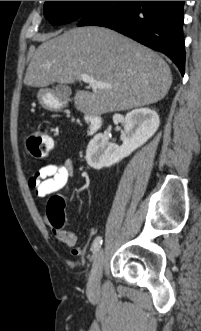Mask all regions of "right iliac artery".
<instances>
[{
    "label": "right iliac artery",
    "instance_id": "right-iliac-artery-1",
    "mask_svg": "<svg viewBox=\"0 0 201 331\" xmlns=\"http://www.w3.org/2000/svg\"><path fill=\"white\" fill-rule=\"evenodd\" d=\"M102 242H103L102 237L98 236L95 238V240L93 241V244H92V248H91L93 253H97L99 251V249L102 245Z\"/></svg>",
    "mask_w": 201,
    "mask_h": 331
}]
</instances>
